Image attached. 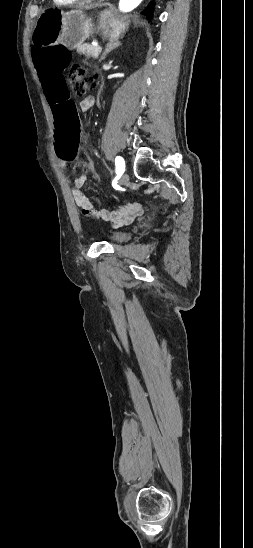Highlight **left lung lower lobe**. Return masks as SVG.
I'll list each match as a JSON object with an SVG mask.
<instances>
[{
    "instance_id": "left-lung-lower-lobe-1",
    "label": "left lung lower lobe",
    "mask_w": 253,
    "mask_h": 548,
    "mask_svg": "<svg viewBox=\"0 0 253 548\" xmlns=\"http://www.w3.org/2000/svg\"><path fill=\"white\" fill-rule=\"evenodd\" d=\"M147 10H148V12H149L150 14H152V12H153V11H152V8H148Z\"/></svg>"
}]
</instances>
